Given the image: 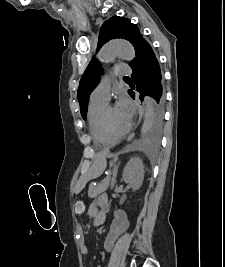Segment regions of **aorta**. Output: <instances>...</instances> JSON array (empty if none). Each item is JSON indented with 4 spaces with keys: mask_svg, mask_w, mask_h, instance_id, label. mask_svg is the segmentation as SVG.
<instances>
[{
    "mask_svg": "<svg viewBox=\"0 0 225 267\" xmlns=\"http://www.w3.org/2000/svg\"><path fill=\"white\" fill-rule=\"evenodd\" d=\"M116 56L123 60L131 61L135 57V49L128 41H117L106 44L102 47L99 53V60L102 63H108ZM144 119L141 128V133L145 134L152 123L153 100L150 97L144 98Z\"/></svg>",
    "mask_w": 225,
    "mask_h": 267,
    "instance_id": "762f6f07",
    "label": "aorta"
}]
</instances>
